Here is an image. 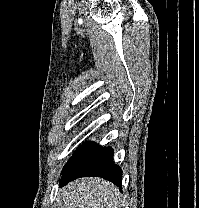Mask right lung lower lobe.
<instances>
[{"instance_id":"obj_1","label":"right lung lower lobe","mask_w":199,"mask_h":208,"mask_svg":"<svg viewBox=\"0 0 199 208\" xmlns=\"http://www.w3.org/2000/svg\"><path fill=\"white\" fill-rule=\"evenodd\" d=\"M114 151L111 147H101L96 143L82 144L73 160L62 171L60 186L85 176H98L122 187V170L113 163Z\"/></svg>"}]
</instances>
